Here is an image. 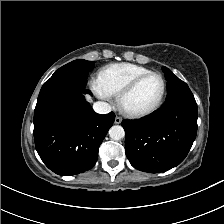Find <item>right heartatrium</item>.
I'll use <instances>...</instances> for the list:
<instances>
[{"mask_svg":"<svg viewBox=\"0 0 224 224\" xmlns=\"http://www.w3.org/2000/svg\"><path fill=\"white\" fill-rule=\"evenodd\" d=\"M91 87L98 97L105 100L110 99L111 95L102 88L99 79L92 80Z\"/></svg>","mask_w":224,"mask_h":224,"instance_id":"1","label":"right heart atrium"}]
</instances>
